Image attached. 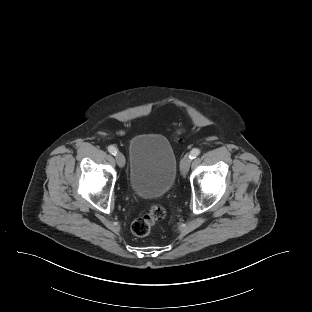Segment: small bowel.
Masks as SVG:
<instances>
[{
    "label": "small bowel",
    "instance_id": "small-bowel-1",
    "mask_svg": "<svg viewBox=\"0 0 312 312\" xmlns=\"http://www.w3.org/2000/svg\"><path fill=\"white\" fill-rule=\"evenodd\" d=\"M124 130H118V133L120 134V135H122V134H124Z\"/></svg>",
    "mask_w": 312,
    "mask_h": 312
}]
</instances>
